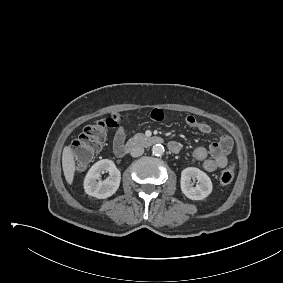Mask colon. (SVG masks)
I'll return each mask as SVG.
<instances>
[{
	"instance_id": "5ec220e1",
	"label": "colon",
	"mask_w": 283,
	"mask_h": 283,
	"mask_svg": "<svg viewBox=\"0 0 283 283\" xmlns=\"http://www.w3.org/2000/svg\"><path fill=\"white\" fill-rule=\"evenodd\" d=\"M107 120H99L88 125L80 136L73 142L72 152L75 163L78 167H85L92 157L98 153L106 140ZM235 174V164L230 163L220 174V182L224 185L233 181Z\"/></svg>"
}]
</instances>
